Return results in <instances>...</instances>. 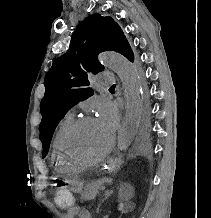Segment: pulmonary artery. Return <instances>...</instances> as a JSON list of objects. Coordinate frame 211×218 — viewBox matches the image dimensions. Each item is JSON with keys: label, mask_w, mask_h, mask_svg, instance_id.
Here are the masks:
<instances>
[{"label": "pulmonary artery", "mask_w": 211, "mask_h": 218, "mask_svg": "<svg viewBox=\"0 0 211 218\" xmlns=\"http://www.w3.org/2000/svg\"><path fill=\"white\" fill-rule=\"evenodd\" d=\"M98 77L100 79V85H117L116 75L102 73Z\"/></svg>", "instance_id": "e3ab8cb5"}]
</instances>
